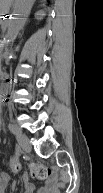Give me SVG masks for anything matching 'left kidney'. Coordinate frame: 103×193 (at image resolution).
Segmentation results:
<instances>
[{
	"label": "left kidney",
	"instance_id": "5707ae66",
	"mask_svg": "<svg viewBox=\"0 0 103 193\" xmlns=\"http://www.w3.org/2000/svg\"><path fill=\"white\" fill-rule=\"evenodd\" d=\"M37 17H43L45 15V13L43 11H38L36 14H35Z\"/></svg>",
	"mask_w": 103,
	"mask_h": 193
}]
</instances>
